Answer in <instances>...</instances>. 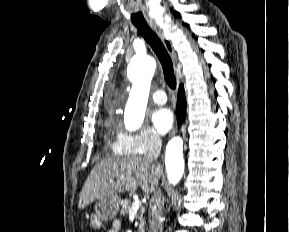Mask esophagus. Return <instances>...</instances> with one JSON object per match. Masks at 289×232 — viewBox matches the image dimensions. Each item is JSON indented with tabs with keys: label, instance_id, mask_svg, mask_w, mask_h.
<instances>
[{
	"label": "esophagus",
	"instance_id": "esophagus-1",
	"mask_svg": "<svg viewBox=\"0 0 289 232\" xmlns=\"http://www.w3.org/2000/svg\"><path fill=\"white\" fill-rule=\"evenodd\" d=\"M150 27L158 35V37L162 41V43L165 46L167 52L170 54V56L173 58V60H175L176 55H175V51L173 49L172 43H171V41L168 38H166V36H165L164 32L162 31V29L160 27H158L155 23H151Z\"/></svg>",
	"mask_w": 289,
	"mask_h": 232
}]
</instances>
